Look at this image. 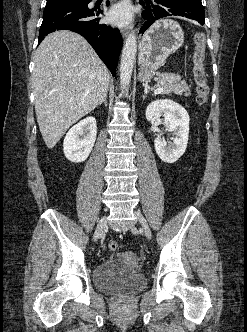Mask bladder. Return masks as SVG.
<instances>
[{
    "mask_svg": "<svg viewBox=\"0 0 247 332\" xmlns=\"http://www.w3.org/2000/svg\"><path fill=\"white\" fill-rule=\"evenodd\" d=\"M93 282L103 292L130 294L145 286L146 277L138 269L135 255L122 252L95 267Z\"/></svg>",
    "mask_w": 247,
    "mask_h": 332,
    "instance_id": "obj_1",
    "label": "bladder"
}]
</instances>
